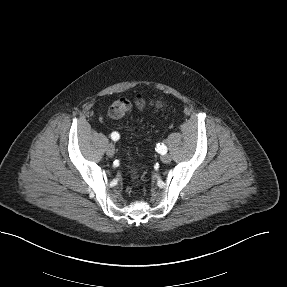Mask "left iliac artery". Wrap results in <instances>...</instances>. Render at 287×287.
<instances>
[{
	"label": "left iliac artery",
	"mask_w": 287,
	"mask_h": 287,
	"mask_svg": "<svg viewBox=\"0 0 287 287\" xmlns=\"http://www.w3.org/2000/svg\"><path fill=\"white\" fill-rule=\"evenodd\" d=\"M156 151L162 155L167 153V147L164 144H157Z\"/></svg>",
	"instance_id": "44dca946"
}]
</instances>
